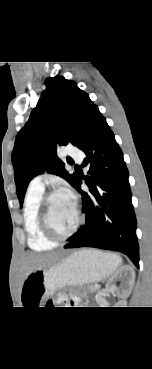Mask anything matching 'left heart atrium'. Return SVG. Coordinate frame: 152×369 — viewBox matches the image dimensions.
Masks as SVG:
<instances>
[{"mask_svg":"<svg viewBox=\"0 0 152 369\" xmlns=\"http://www.w3.org/2000/svg\"><path fill=\"white\" fill-rule=\"evenodd\" d=\"M61 193H62L63 195H65V196H67L68 198H70L71 200H73V199H72V195L70 194V192H69V191H67V190H62V191H61Z\"/></svg>","mask_w":152,"mask_h":369,"instance_id":"left-heart-atrium-1","label":"left heart atrium"}]
</instances>
